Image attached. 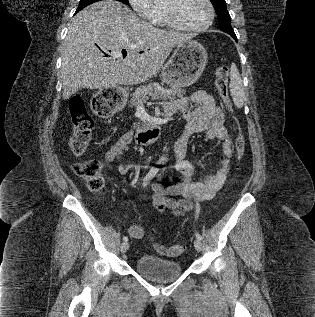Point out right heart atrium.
<instances>
[{"instance_id": "d8ad5b80", "label": "right heart atrium", "mask_w": 315, "mask_h": 317, "mask_svg": "<svg viewBox=\"0 0 315 317\" xmlns=\"http://www.w3.org/2000/svg\"><path fill=\"white\" fill-rule=\"evenodd\" d=\"M132 9L144 20L154 22L158 7L152 0H128Z\"/></svg>"}]
</instances>
